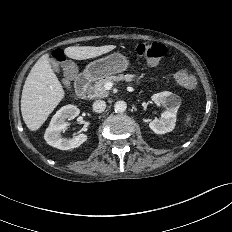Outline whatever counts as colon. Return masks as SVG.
<instances>
[{
	"mask_svg": "<svg viewBox=\"0 0 232 232\" xmlns=\"http://www.w3.org/2000/svg\"><path fill=\"white\" fill-rule=\"evenodd\" d=\"M136 54L150 62H157L168 53V48L160 43L154 42H142L136 46ZM55 60L63 62L65 56L62 50H56L52 53ZM175 83L183 88H193L195 86L196 80L194 75L188 68L181 67L178 68L173 75Z\"/></svg>",
	"mask_w": 232,
	"mask_h": 232,
	"instance_id": "colon-1",
	"label": "colon"
}]
</instances>
